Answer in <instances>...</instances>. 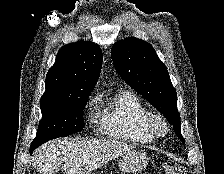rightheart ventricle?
I'll use <instances>...</instances> for the list:
<instances>
[{
    "label": "right heart ventricle",
    "instance_id": "1",
    "mask_svg": "<svg viewBox=\"0 0 224 174\" xmlns=\"http://www.w3.org/2000/svg\"><path fill=\"white\" fill-rule=\"evenodd\" d=\"M100 101L99 127L105 136L142 144L154 140L143 126V119L148 110L135 94L119 91L112 97Z\"/></svg>",
    "mask_w": 224,
    "mask_h": 174
}]
</instances>
